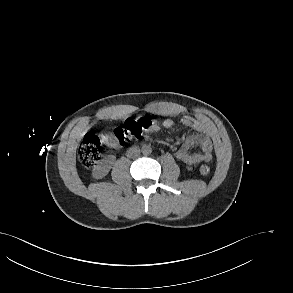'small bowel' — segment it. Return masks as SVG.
<instances>
[{"label":"small bowel","mask_w":293,"mask_h":293,"mask_svg":"<svg viewBox=\"0 0 293 293\" xmlns=\"http://www.w3.org/2000/svg\"><path fill=\"white\" fill-rule=\"evenodd\" d=\"M181 123L193 129L195 133L184 139L181 146L175 151V157L187 164H198L211 161L213 145L207 134L205 124L201 120L194 119L190 116L182 117ZM173 124L174 121L171 118H166L162 121V126L164 128H171ZM157 129L158 126H155L154 130ZM194 146H199L201 151L191 153L190 149Z\"/></svg>","instance_id":"c3829d8e"}]
</instances>
